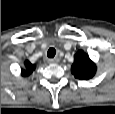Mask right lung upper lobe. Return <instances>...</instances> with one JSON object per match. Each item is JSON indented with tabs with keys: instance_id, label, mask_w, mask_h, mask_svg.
Instances as JSON below:
<instances>
[{
	"instance_id": "cb5924a9",
	"label": "right lung upper lobe",
	"mask_w": 115,
	"mask_h": 114,
	"mask_svg": "<svg viewBox=\"0 0 115 114\" xmlns=\"http://www.w3.org/2000/svg\"><path fill=\"white\" fill-rule=\"evenodd\" d=\"M25 68L22 69L21 74L22 76L26 77L29 76L36 68L35 64H31L28 60L24 62Z\"/></svg>"
}]
</instances>
